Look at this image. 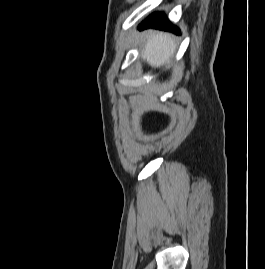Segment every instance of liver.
I'll list each match as a JSON object with an SVG mask.
<instances>
[{
	"mask_svg": "<svg viewBox=\"0 0 265 269\" xmlns=\"http://www.w3.org/2000/svg\"><path fill=\"white\" fill-rule=\"evenodd\" d=\"M142 58L152 67H169L177 48L169 33L149 30L144 33Z\"/></svg>",
	"mask_w": 265,
	"mask_h": 269,
	"instance_id": "1",
	"label": "liver"
}]
</instances>
